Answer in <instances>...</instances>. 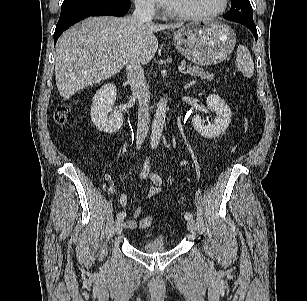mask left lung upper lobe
<instances>
[{
	"mask_svg": "<svg viewBox=\"0 0 307 301\" xmlns=\"http://www.w3.org/2000/svg\"><path fill=\"white\" fill-rule=\"evenodd\" d=\"M252 12L249 0H231V9L223 17L226 19L253 22Z\"/></svg>",
	"mask_w": 307,
	"mask_h": 301,
	"instance_id": "obj_1",
	"label": "left lung upper lobe"
}]
</instances>
